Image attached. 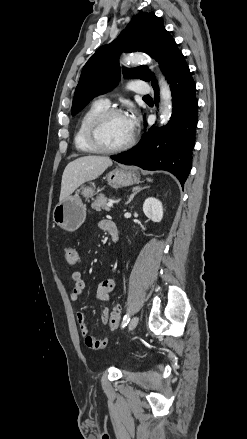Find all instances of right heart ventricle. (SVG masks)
<instances>
[{"instance_id": "obj_1", "label": "right heart ventricle", "mask_w": 247, "mask_h": 439, "mask_svg": "<svg viewBox=\"0 0 247 439\" xmlns=\"http://www.w3.org/2000/svg\"><path fill=\"white\" fill-rule=\"evenodd\" d=\"M108 108L100 101L94 102L81 116L74 134V145L82 153H97L98 151L89 143L87 130L92 119Z\"/></svg>"}]
</instances>
